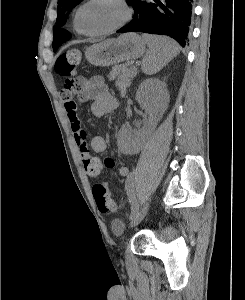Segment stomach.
Listing matches in <instances>:
<instances>
[{"label": "stomach", "mask_w": 245, "mask_h": 300, "mask_svg": "<svg viewBox=\"0 0 245 300\" xmlns=\"http://www.w3.org/2000/svg\"><path fill=\"white\" fill-rule=\"evenodd\" d=\"M146 42L136 33H125L116 39H106L89 47L85 56L87 61L99 67L111 66L142 56Z\"/></svg>", "instance_id": "obj_1"}]
</instances>
